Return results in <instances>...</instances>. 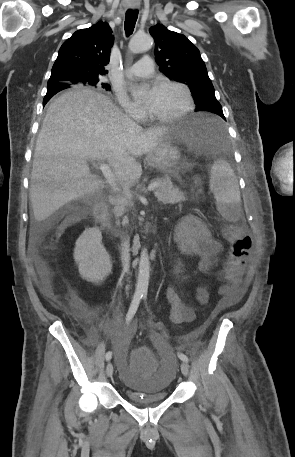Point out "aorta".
I'll return each instance as SVG.
<instances>
[{"label":"aorta","instance_id":"762f6f07","mask_svg":"<svg viewBox=\"0 0 295 457\" xmlns=\"http://www.w3.org/2000/svg\"><path fill=\"white\" fill-rule=\"evenodd\" d=\"M152 46V39L148 34H135L129 42V51L131 53L137 54L144 51H147ZM150 277V262L147 249L144 248L141 251L138 278L136 285V293L138 294H147L148 284Z\"/></svg>","mask_w":295,"mask_h":457}]
</instances>
